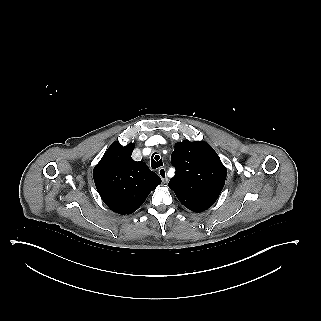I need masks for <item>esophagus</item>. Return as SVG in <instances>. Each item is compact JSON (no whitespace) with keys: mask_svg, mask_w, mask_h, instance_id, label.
Masks as SVG:
<instances>
[{"mask_svg":"<svg viewBox=\"0 0 321 321\" xmlns=\"http://www.w3.org/2000/svg\"><path fill=\"white\" fill-rule=\"evenodd\" d=\"M158 174H159L160 178L162 179L163 183L167 184L168 178H167V172H166L165 168H160L158 170Z\"/></svg>","mask_w":321,"mask_h":321,"instance_id":"obj_1","label":"esophagus"}]
</instances>
